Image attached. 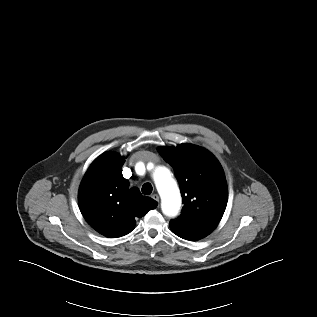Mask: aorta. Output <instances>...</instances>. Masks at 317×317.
<instances>
[{
	"mask_svg": "<svg viewBox=\"0 0 317 317\" xmlns=\"http://www.w3.org/2000/svg\"><path fill=\"white\" fill-rule=\"evenodd\" d=\"M151 176L161 195V208L164 215L174 217L181 207V195L172 171L168 166L155 165Z\"/></svg>",
	"mask_w": 317,
	"mask_h": 317,
	"instance_id": "aorta-1",
	"label": "aorta"
}]
</instances>
